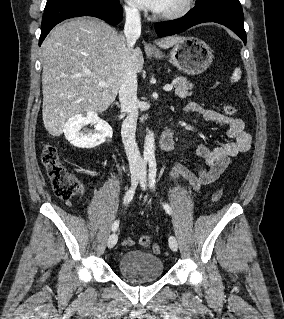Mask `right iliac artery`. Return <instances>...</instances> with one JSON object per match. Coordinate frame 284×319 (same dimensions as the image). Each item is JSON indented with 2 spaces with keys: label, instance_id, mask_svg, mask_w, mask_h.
I'll return each mask as SVG.
<instances>
[{
  "label": "right iliac artery",
  "instance_id": "obj_1",
  "mask_svg": "<svg viewBox=\"0 0 284 319\" xmlns=\"http://www.w3.org/2000/svg\"><path fill=\"white\" fill-rule=\"evenodd\" d=\"M146 165H147V160H144V162H143V169L146 167ZM135 186H133V187H131L127 192H126V194H125V197H124V205H126V204H128L131 200H132V198H133V196H134V193H135ZM118 226H119V221L118 220H116L114 223H113V225H112V231L114 232V231H116L117 230V228H118Z\"/></svg>",
  "mask_w": 284,
  "mask_h": 319
}]
</instances>
